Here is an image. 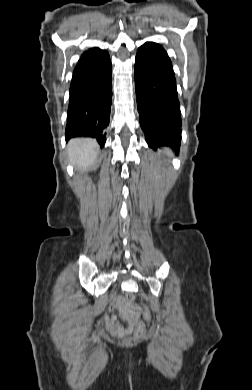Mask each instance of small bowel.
Here are the masks:
<instances>
[{"label": "small bowel", "instance_id": "c3829d8e", "mask_svg": "<svg viewBox=\"0 0 252 390\" xmlns=\"http://www.w3.org/2000/svg\"><path fill=\"white\" fill-rule=\"evenodd\" d=\"M112 311H117L118 315L111 313L107 316V328L110 332L115 334L130 333L135 326V315L128 312L125 300L118 296L114 299L111 305ZM145 318L149 319V312L144 311Z\"/></svg>", "mask_w": 252, "mask_h": 390}]
</instances>
